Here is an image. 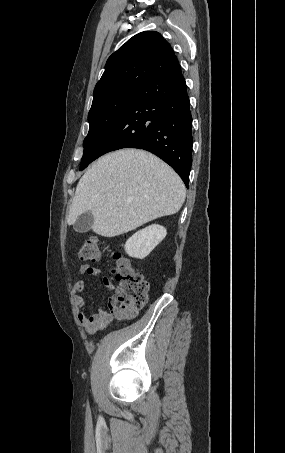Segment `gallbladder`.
Wrapping results in <instances>:
<instances>
[{
  "label": "gallbladder",
  "mask_w": 285,
  "mask_h": 453,
  "mask_svg": "<svg viewBox=\"0 0 285 453\" xmlns=\"http://www.w3.org/2000/svg\"><path fill=\"white\" fill-rule=\"evenodd\" d=\"M93 221V214L90 211L85 212L76 219L73 228L78 233H86L91 230Z\"/></svg>",
  "instance_id": "obj_1"
}]
</instances>
